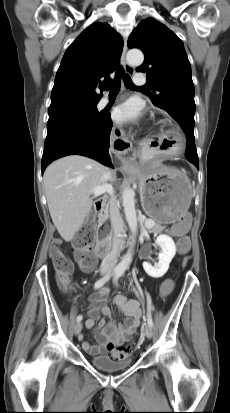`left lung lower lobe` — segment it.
<instances>
[{
  "instance_id": "obj_1",
  "label": "left lung lower lobe",
  "mask_w": 230,
  "mask_h": 413,
  "mask_svg": "<svg viewBox=\"0 0 230 413\" xmlns=\"http://www.w3.org/2000/svg\"><path fill=\"white\" fill-rule=\"evenodd\" d=\"M185 134L187 138V148L185 152V157L189 162L193 163L197 169H199L198 155L195 147L194 132L191 130H187Z\"/></svg>"
}]
</instances>
